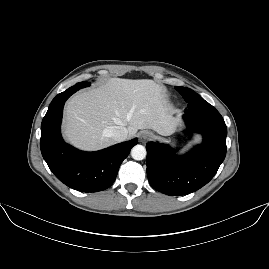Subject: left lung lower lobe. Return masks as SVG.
I'll use <instances>...</instances> for the list:
<instances>
[{
    "mask_svg": "<svg viewBox=\"0 0 269 269\" xmlns=\"http://www.w3.org/2000/svg\"><path fill=\"white\" fill-rule=\"evenodd\" d=\"M188 133L203 135V142L178 157L167 145L146 144L147 176L151 186L172 196L188 195L207 184L226 156L227 127L219 112L193 114L185 111Z\"/></svg>",
    "mask_w": 269,
    "mask_h": 269,
    "instance_id": "1",
    "label": "left lung lower lobe"
}]
</instances>
